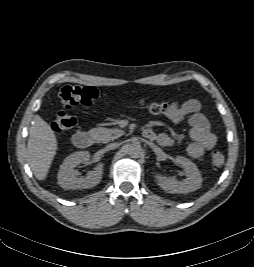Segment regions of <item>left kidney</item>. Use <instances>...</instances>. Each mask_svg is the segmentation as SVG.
Returning a JSON list of instances; mask_svg holds the SVG:
<instances>
[{
	"label": "left kidney",
	"instance_id": "1",
	"mask_svg": "<svg viewBox=\"0 0 254 267\" xmlns=\"http://www.w3.org/2000/svg\"><path fill=\"white\" fill-rule=\"evenodd\" d=\"M174 162L181 164L185 168L186 179L178 181L174 178H167L157 174L155 178L158 185L169 193L186 194L199 189L202 184V177L197 166L191 160L182 156L175 157Z\"/></svg>",
	"mask_w": 254,
	"mask_h": 267
}]
</instances>
